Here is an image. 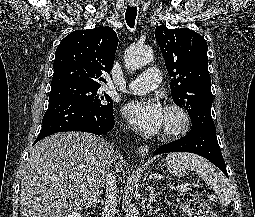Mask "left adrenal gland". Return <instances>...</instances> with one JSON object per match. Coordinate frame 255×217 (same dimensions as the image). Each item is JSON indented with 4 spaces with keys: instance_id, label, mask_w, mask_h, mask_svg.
<instances>
[{
    "instance_id": "1",
    "label": "left adrenal gland",
    "mask_w": 255,
    "mask_h": 217,
    "mask_svg": "<svg viewBox=\"0 0 255 217\" xmlns=\"http://www.w3.org/2000/svg\"><path fill=\"white\" fill-rule=\"evenodd\" d=\"M148 190L150 192V196H149V201H148V204H147V210H148V213L149 214H152V202L154 201V199L156 198V196H159L161 194V192H156L154 191L153 189V186L149 185L148 186Z\"/></svg>"
}]
</instances>
